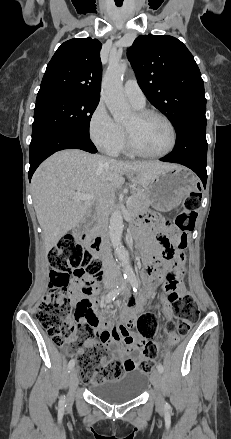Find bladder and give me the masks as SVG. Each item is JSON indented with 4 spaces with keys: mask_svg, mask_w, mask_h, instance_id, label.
<instances>
[{
    "mask_svg": "<svg viewBox=\"0 0 231 439\" xmlns=\"http://www.w3.org/2000/svg\"><path fill=\"white\" fill-rule=\"evenodd\" d=\"M151 377L140 369H127L121 379L92 385L89 391L98 399L110 404H120L139 398L147 389Z\"/></svg>",
    "mask_w": 231,
    "mask_h": 439,
    "instance_id": "bladder-1",
    "label": "bladder"
}]
</instances>
